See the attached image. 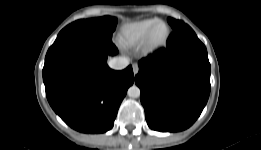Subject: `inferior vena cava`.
I'll return each instance as SVG.
<instances>
[{"label":"inferior vena cava","mask_w":261,"mask_h":150,"mask_svg":"<svg viewBox=\"0 0 261 150\" xmlns=\"http://www.w3.org/2000/svg\"><path fill=\"white\" fill-rule=\"evenodd\" d=\"M108 64H109V67L114 70H122L129 65V59L126 57H116V58L110 59Z\"/></svg>","instance_id":"inferior-vena-cava-1"}]
</instances>
